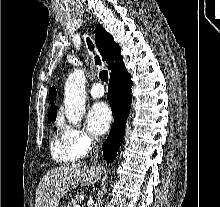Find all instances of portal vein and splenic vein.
<instances>
[{
    "label": "portal vein and splenic vein",
    "instance_id": "1",
    "mask_svg": "<svg viewBox=\"0 0 220 207\" xmlns=\"http://www.w3.org/2000/svg\"><path fill=\"white\" fill-rule=\"evenodd\" d=\"M75 207H80L79 205H76Z\"/></svg>",
    "mask_w": 220,
    "mask_h": 207
}]
</instances>
